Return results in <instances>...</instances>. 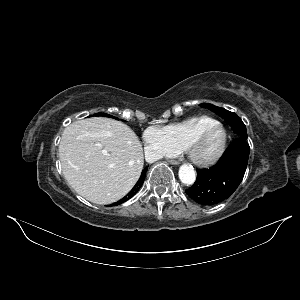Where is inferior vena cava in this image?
I'll list each match as a JSON object with an SVG mask.
<instances>
[{
  "mask_svg": "<svg viewBox=\"0 0 300 300\" xmlns=\"http://www.w3.org/2000/svg\"><path fill=\"white\" fill-rule=\"evenodd\" d=\"M145 157H146V160L148 162H154V161H157L158 159H160L162 157V154L160 152H155L152 154V152L146 150L145 151Z\"/></svg>",
  "mask_w": 300,
  "mask_h": 300,
  "instance_id": "602c4592",
  "label": "inferior vena cava"
}]
</instances>
